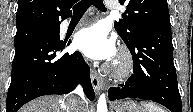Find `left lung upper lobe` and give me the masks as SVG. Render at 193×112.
<instances>
[{
	"label": "left lung upper lobe",
	"instance_id": "obj_1",
	"mask_svg": "<svg viewBox=\"0 0 193 112\" xmlns=\"http://www.w3.org/2000/svg\"><path fill=\"white\" fill-rule=\"evenodd\" d=\"M127 9L122 20L115 22L118 34L127 45H134L143 34L171 27L166 0H120Z\"/></svg>",
	"mask_w": 193,
	"mask_h": 112
}]
</instances>
